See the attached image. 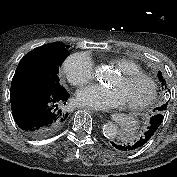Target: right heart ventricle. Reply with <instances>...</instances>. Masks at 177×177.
<instances>
[{"label": "right heart ventricle", "mask_w": 177, "mask_h": 177, "mask_svg": "<svg viewBox=\"0 0 177 177\" xmlns=\"http://www.w3.org/2000/svg\"><path fill=\"white\" fill-rule=\"evenodd\" d=\"M121 73L142 72V68L135 61L128 58H117L111 61Z\"/></svg>", "instance_id": "right-heart-ventricle-1"}]
</instances>
